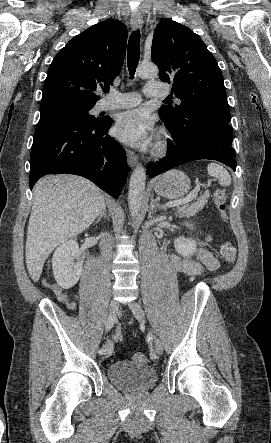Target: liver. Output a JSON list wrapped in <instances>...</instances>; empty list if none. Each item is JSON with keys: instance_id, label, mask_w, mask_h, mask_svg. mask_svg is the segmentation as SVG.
Listing matches in <instances>:
<instances>
[{"instance_id": "1", "label": "liver", "mask_w": 271, "mask_h": 443, "mask_svg": "<svg viewBox=\"0 0 271 443\" xmlns=\"http://www.w3.org/2000/svg\"><path fill=\"white\" fill-rule=\"evenodd\" d=\"M104 206L101 190L80 176L59 174L37 182L25 245L26 267L33 281L40 279L53 249L87 229Z\"/></svg>"}]
</instances>
